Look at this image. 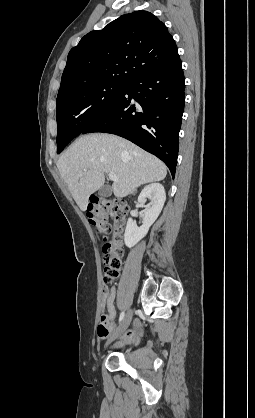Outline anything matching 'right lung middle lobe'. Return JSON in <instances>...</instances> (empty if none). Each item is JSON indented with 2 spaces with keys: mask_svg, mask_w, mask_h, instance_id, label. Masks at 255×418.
<instances>
[{
  "mask_svg": "<svg viewBox=\"0 0 255 418\" xmlns=\"http://www.w3.org/2000/svg\"><path fill=\"white\" fill-rule=\"evenodd\" d=\"M127 84L98 82L58 94L57 153L90 124L108 112Z\"/></svg>",
  "mask_w": 255,
  "mask_h": 418,
  "instance_id": "1",
  "label": "right lung middle lobe"
}]
</instances>
